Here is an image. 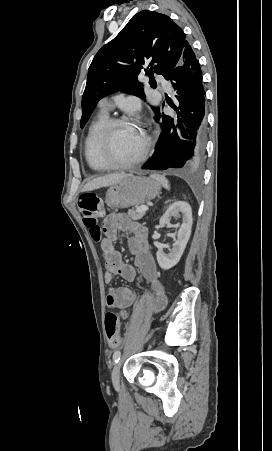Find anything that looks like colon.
Wrapping results in <instances>:
<instances>
[{
  "label": "colon",
  "mask_w": 272,
  "mask_h": 451,
  "mask_svg": "<svg viewBox=\"0 0 272 451\" xmlns=\"http://www.w3.org/2000/svg\"><path fill=\"white\" fill-rule=\"evenodd\" d=\"M77 205L84 224L88 227H96L99 217L104 214L103 199L94 192H89L77 198ZM92 235L99 238L100 232L95 230ZM104 328L111 347H120V338H114L119 332L118 318L115 314L107 313L105 315Z\"/></svg>",
  "instance_id": "obj_1"
}]
</instances>
